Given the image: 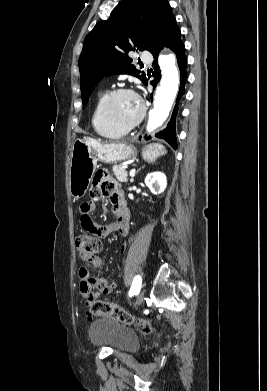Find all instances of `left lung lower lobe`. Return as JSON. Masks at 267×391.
<instances>
[{
  "instance_id": "obj_1",
  "label": "left lung lower lobe",
  "mask_w": 267,
  "mask_h": 391,
  "mask_svg": "<svg viewBox=\"0 0 267 391\" xmlns=\"http://www.w3.org/2000/svg\"><path fill=\"white\" fill-rule=\"evenodd\" d=\"M164 47L171 49L177 56V63L180 69V88L179 93L176 99V106L174 108L172 117L170 122L168 123L166 129H164L162 132H159L156 134V137L163 138L165 141H167L174 149H177V142H176V131H175V120L178 110V103L181 99L182 95L184 94V85L187 80V74H186V64H187V58L185 56L184 50L185 46L181 41V32L179 30V27L176 25L174 26L171 31L168 33V35L165 37V39L159 43L152 51V55L154 56V62H153V68L154 71L152 73V76L154 77V80L151 81V84L156 87L157 83L159 82L161 78V71L157 63L158 55L161 49ZM147 85V81L145 83Z\"/></svg>"
}]
</instances>
